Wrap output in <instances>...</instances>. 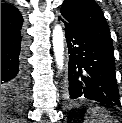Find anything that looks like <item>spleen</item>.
<instances>
[{"label": "spleen", "instance_id": "1", "mask_svg": "<svg viewBox=\"0 0 122 123\" xmlns=\"http://www.w3.org/2000/svg\"><path fill=\"white\" fill-rule=\"evenodd\" d=\"M85 123H109L108 113L99 107L89 108Z\"/></svg>", "mask_w": 122, "mask_h": 123}]
</instances>
